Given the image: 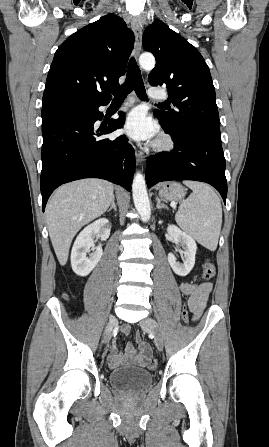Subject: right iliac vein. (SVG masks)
<instances>
[{
  "label": "right iliac vein",
  "mask_w": 269,
  "mask_h": 447,
  "mask_svg": "<svg viewBox=\"0 0 269 447\" xmlns=\"http://www.w3.org/2000/svg\"><path fill=\"white\" fill-rule=\"evenodd\" d=\"M117 323V319L116 318H112L109 322V324L107 325L106 329H105V333H104V339L106 342H108L111 338L112 335V330H113V326L114 324Z\"/></svg>",
  "instance_id": "obj_1"
}]
</instances>
